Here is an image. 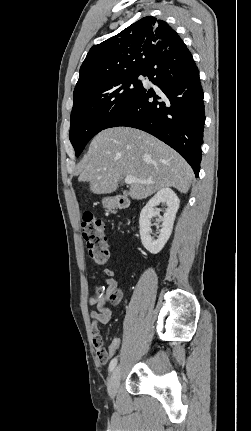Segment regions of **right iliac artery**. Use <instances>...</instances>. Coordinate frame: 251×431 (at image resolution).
<instances>
[{
  "label": "right iliac artery",
  "mask_w": 251,
  "mask_h": 431,
  "mask_svg": "<svg viewBox=\"0 0 251 431\" xmlns=\"http://www.w3.org/2000/svg\"><path fill=\"white\" fill-rule=\"evenodd\" d=\"M117 364V358H114L109 363V371L112 372Z\"/></svg>",
  "instance_id": "82829eb1"
}]
</instances>
